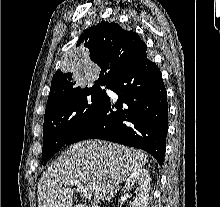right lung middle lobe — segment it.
I'll return each instance as SVG.
<instances>
[{"label": "right lung middle lobe", "mask_w": 220, "mask_h": 207, "mask_svg": "<svg viewBox=\"0 0 220 207\" xmlns=\"http://www.w3.org/2000/svg\"><path fill=\"white\" fill-rule=\"evenodd\" d=\"M101 86L109 87L103 84L80 88L46 106L42 161H48L68 144L71 135L103 105L107 95Z\"/></svg>", "instance_id": "dd1d6c3e"}]
</instances>
